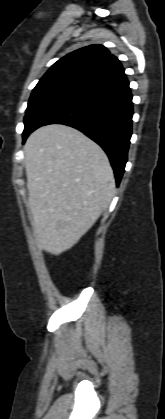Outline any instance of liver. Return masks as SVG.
I'll return each mask as SVG.
<instances>
[{
    "instance_id": "liver-1",
    "label": "liver",
    "mask_w": 165,
    "mask_h": 419,
    "mask_svg": "<svg viewBox=\"0 0 165 419\" xmlns=\"http://www.w3.org/2000/svg\"><path fill=\"white\" fill-rule=\"evenodd\" d=\"M28 207L39 250L73 247L106 210L115 179L102 148L65 125L35 130L24 146Z\"/></svg>"
}]
</instances>
